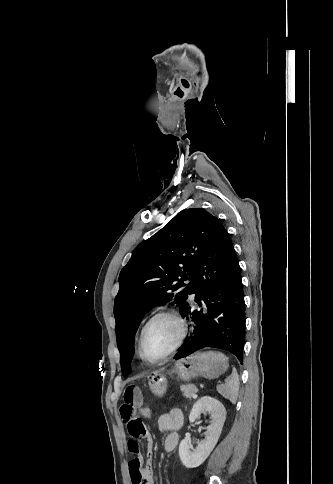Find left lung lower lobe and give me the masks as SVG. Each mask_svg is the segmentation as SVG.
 Here are the masks:
<instances>
[{"label": "left lung lower lobe", "mask_w": 333, "mask_h": 484, "mask_svg": "<svg viewBox=\"0 0 333 484\" xmlns=\"http://www.w3.org/2000/svg\"><path fill=\"white\" fill-rule=\"evenodd\" d=\"M189 279L195 301L202 307L181 305L180 313L193 323V333L174 359L212 347L231 352L242 364L245 302L240 267L230 236L217 218L210 225Z\"/></svg>", "instance_id": "obj_1"}]
</instances>
